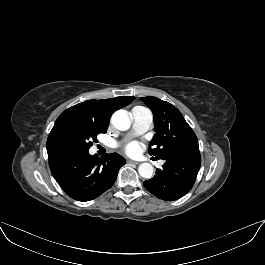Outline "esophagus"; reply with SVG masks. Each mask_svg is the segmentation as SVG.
Listing matches in <instances>:
<instances>
[{
    "label": "esophagus",
    "instance_id": "esophagus-1",
    "mask_svg": "<svg viewBox=\"0 0 265 265\" xmlns=\"http://www.w3.org/2000/svg\"><path fill=\"white\" fill-rule=\"evenodd\" d=\"M128 162H129V163H132V164H135V165L140 164L139 162H137V161H133V160H128Z\"/></svg>",
    "mask_w": 265,
    "mask_h": 265
}]
</instances>
